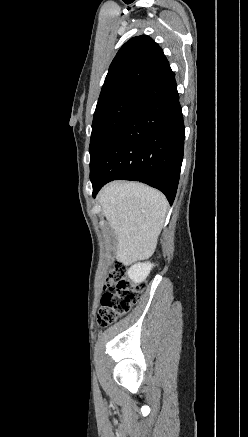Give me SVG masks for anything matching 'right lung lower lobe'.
<instances>
[{
  "mask_svg": "<svg viewBox=\"0 0 248 437\" xmlns=\"http://www.w3.org/2000/svg\"><path fill=\"white\" fill-rule=\"evenodd\" d=\"M184 149V122L175 75L167 66L141 90L90 170L93 197L116 179L162 191L173 203Z\"/></svg>",
  "mask_w": 248,
  "mask_h": 437,
  "instance_id": "1",
  "label": "right lung lower lobe"
}]
</instances>
